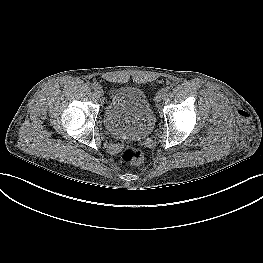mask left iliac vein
Returning <instances> with one entry per match:
<instances>
[{
	"label": "left iliac vein",
	"instance_id": "4c4485c4",
	"mask_svg": "<svg viewBox=\"0 0 263 263\" xmlns=\"http://www.w3.org/2000/svg\"><path fill=\"white\" fill-rule=\"evenodd\" d=\"M163 97L160 95V93L158 94V95H156L155 97H154V100L156 101V102H159V101H161V99H162Z\"/></svg>",
	"mask_w": 263,
	"mask_h": 263
}]
</instances>
